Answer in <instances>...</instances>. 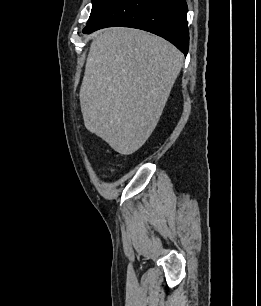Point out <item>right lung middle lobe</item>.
I'll return each instance as SVG.
<instances>
[{"label":"right lung middle lobe","mask_w":261,"mask_h":306,"mask_svg":"<svg viewBox=\"0 0 261 306\" xmlns=\"http://www.w3.org/2000/svg\"><path fill=\"white\" fill-rule=\"evenodd\" d=\"M113 0H92V10L87 25Z\"/></svg>","instance_id":"1"}]
</instances>
